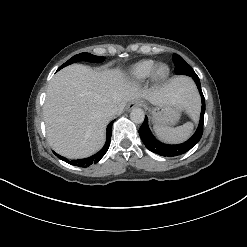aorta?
Masks as SVG:
<instances>
[{
    "mask_svg": "<svg viewBox=\"0 0 247 247\" xmlns=\"http://www.w3.org/2000/svg\"><path fill=\"white\" fill-rule=\"evenodd\" d=\"M144 111L140 108H134L130 112V118L134 123H142L144 121Z\"/></svg>",
    "mask_w": 247,
    "mask_h": 247,
    "instance_id": "aorta-1",
    "label": "aorta"
}]
</instances>
